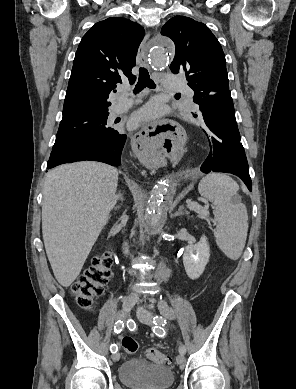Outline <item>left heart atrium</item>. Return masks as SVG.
Masks as SVG:
<instances>
[{"label": "left heart atrium", "mask_w": 296, "mask_h": 389, "mask_svg": "<svg viewBox=\"0 0 296 389\" xmlns=\"http://www.w3.org/2000/svg\"><path fill=\"white\" fill-rule=\"evenodd\" d=\"M160 115V108L155 103H150L143 108H141L138 112H136L131 120V123L134 127H137L141 124L149 122Z\"/></svg>", "instance_id": "obj_1"}]
</instances>
